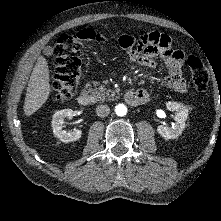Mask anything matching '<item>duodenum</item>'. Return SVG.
I'll return each instance as SVG.
<instances>
[{"instance_id":"410a0bca","label":"duodenum","mask_w":221,"mask_h":221,"mask_svg":"<svg viewBox=\"0 0 221 221\" xmlns=\"http://www.w3.org/2000/svg\"><path fill=\"white\" fill-rule=\"evenodd\" d=\"M125 100L131 105H139L146 102V98L138 91H127L125 93ZM77 101L81 106H89L92 103L91 96L87 92H82Z\"/></svg>"}]
</instances>
